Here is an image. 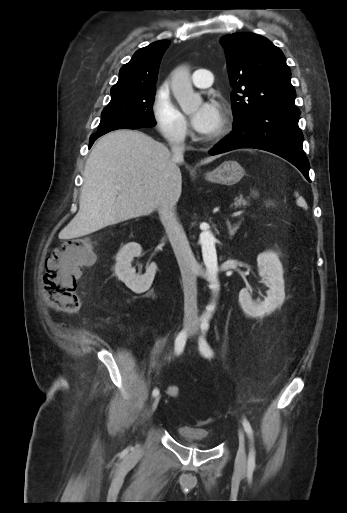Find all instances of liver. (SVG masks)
<instances>
[{
	"label": "liver",
	"instance_id": "obj_1",
	"mask_svg": "<svg viewBox=\"0 0 347 513\" xmlns=\"http://www.w3.org/2000/svg\"><path fill=\"white\" fill-rule=\"evenodd\" d=\"M177 163L166 146L141 131L118 129L105 134L86 161L79 211L59 237L77 238L150 215L158 210L164 188L173 186L179 198L182 176Z\"/></svg>",
	"mask_w": 347,
	"mask_h": 513
}]
</instances>
